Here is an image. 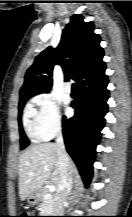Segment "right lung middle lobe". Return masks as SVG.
<instances>
[{
    "mask_svg": "<svg viewBox=\"0 0 132 217\" xmlns=\"http://www.w3.org/2000/svg\"><path fill=\"white\" fill-rule=\"evenodd\" d=\"M31 97H25L20 99L19 102V116H18V122H19V131H20V146L21 149L26 148L29 145V140L26 137L23 128H22V123H21V116H22V109L24 107L25 102Z\"/></svg>",
    "mask_w": 132,
    "mask_h": 217,
    "instance_id": "right-lung-middle-lobe-1",
    "label": "right lung middle lobe"
}]
</instances>
